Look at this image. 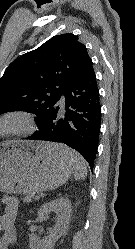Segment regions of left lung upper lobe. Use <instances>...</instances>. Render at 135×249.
<instances>
[{"mask_svg":"<svg viewBox=\"0 0 135 249\" xmlns=\"http://www.w3.org/2000/svg\"><path fill=\"white\" fill-rule=\"evenodd\" d=\"M91 67L92 60L78 36L52 37L7 67L0 78V114L26 110L37 115L39 126L63 90Z\"/></svg>","mask_w":135,"mask_h":249,"instance_id":"obj_1","label":"left lung upper lobe"}]
</instances>
